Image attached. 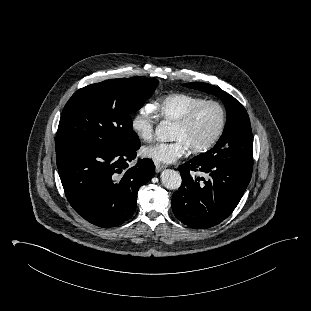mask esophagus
<instances>
[{
	"mask_svg": "<svg viewBox=\"0 0 311 311\" xmlns=\"http://www.w3.org/2000/svg\"><path fill=\"white\" fill-rule=\"evenodd\" d=\"M155 170H156V172L158 173V172H160V171H162L163 169H165L166 168V165H164V164H160V163H158V162H155Z\"/></svg>",
	"mask_w": 311,
	"mask_h": 311,
	"instance_id": "esophagus-1",
	"label": "esophagus"
}]
</instances>
